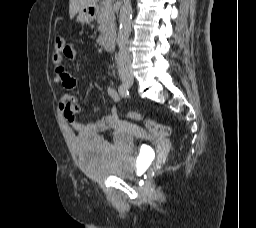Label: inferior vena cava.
<instances>
[{"label":"inferior vena cava","instance_id":"obj_1","mask_svg":"<svg viewBox=\"0 0 256 228\" xmlns=\"http://www.w3.org/2000/svg\"><path fill=\"white\" fill-rule=\"evenodd\" d=\"M118 73L120 76L131 74V57L126 46H120L117 58Z\"/></svg>","mask_w":256,"mask_h":228}]
</instances>
